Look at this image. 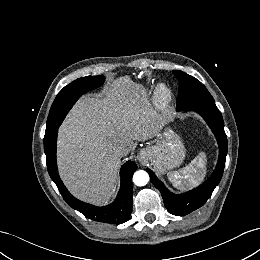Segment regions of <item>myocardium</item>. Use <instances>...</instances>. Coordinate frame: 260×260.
I'll return each mask as SVG.
<instances>
[{"label": "myocardium", "mask_w": 260, "mask_h": 260, "mask_svg": "<svg viewBox=\"0 0 260 260\" xmlns=\"http://www.w3.org/2000/svg\"><path fill=\"white\" fill-rule=\"evenodd\" d=\"M173 102V93L165 84L156 87L154 103L159 110L165 111Z\"/></svg>", "instance_id": "1"}]
</instances>
